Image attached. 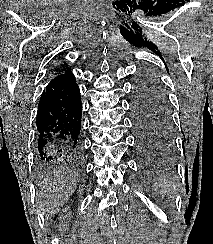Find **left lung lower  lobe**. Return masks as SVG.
<instances>
[{"label":"left lung lower lobe","instance_id":"left-lung-lower-lobe-1","mask_svg":"<svg viewBox=\"0 0 213 244\" xmlns=\"http://www.w3.org/2000/svg\"><path fill=\"white\" fill-rule=\"evenodd\" d=\"M133 119L139 152L149 157L157 156L161 152L165 140L159 137L145 120L135 115Z\"/></svg>","mask_w":213,"mask_h":244}]
</instances>
